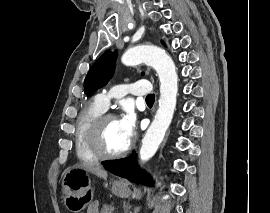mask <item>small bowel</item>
I'll return each mask as SVG.
<instances>
[{
	"instance_id": "1",
	"label": "small bowel",
	"mask_w": 270,
	"mask_h": 213,
	"mask_svg": "<svg viewBox=\"0 0 270 213\" xmlns=\"http://www.w3.org/2000/svg\"><path fill=\"white\" fill-rule=\"evenodd\" d=\"M86 213H99L98 204L96 202L91 203L88 206Z\"/></svg>"
}]
</instances>
